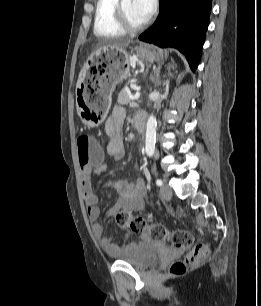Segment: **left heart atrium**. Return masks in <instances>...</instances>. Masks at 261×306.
I'll return each instance as SVG.
<instances>
[{
  "mask_svg": "<svg viewBox=\"0 0 261 306\" xmlns=\"http://www.w3.org/2000/svg\"><path fill=\"white\" fill-rule=\"evenodd\" d=\"M134 6L139 15L144 20H147L154 13L157 6V0H134Z\"/></svg>",
  "mask_w": 261,
  "mask_h": 306,
  "instance_id": "left-heart-atrium-1",
  "label": "left heart atrium"
}]
</instances>
